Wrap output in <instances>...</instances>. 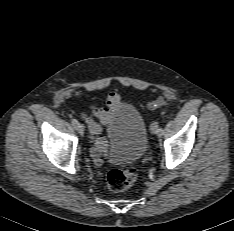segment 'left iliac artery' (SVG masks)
Wrapping results in <instances>:
<instances>
[{"label":"left iliac artery","mask_w":234,"mask_h":231,"mask_svg":"<svg viewBox=\"0 0 234 231\" xmlns=\"http://www.w3.org/2000/svg\"><path fill=\"white\" fill-rule=\"evenodd\" d=\"M158 134L160 136L164 134V129L162 127H158Z\"/></svg>","instance_id":"1"}]
</instances>
